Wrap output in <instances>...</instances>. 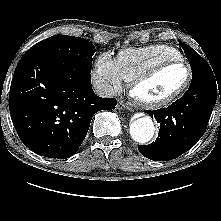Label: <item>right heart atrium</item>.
<instances>
[{
    "label": "right heart atrium",
    "mask_w": 221,
    "mask_h": 221,
    "mask_svg": "<svg viewBox=\"0 0 221 221\" xmlns=\"http://www.w3.org/2000/svg\"><path fill=\"white\" fill-rule=\"evenodd\" d=\"M93 80L101 87H110L115 91L122 88V77L117 68V62L109 53L100 54L94 65Z\"/></svg>",
    "instance_id": "right-heart-atrium-1"
}]
</instances>
